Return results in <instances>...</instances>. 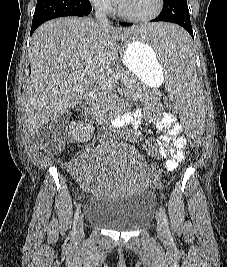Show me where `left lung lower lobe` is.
<instances>
[{"instance_id": "obj_1", "label": "left lung lower lobe", "mask_w": 227, "mask_h": 267, "mask_svg": "<svg viewBox=\"0 0 227 267\" xmlns=\"http://www.w3.org/2000/svg\"><path fill=\"white\" fill-rule=\"evenodd\" d=\"M171 22L182 26L191 37L194 39L193 30L190 21L189 9L187 6V0H164V7L161 13L152 20V22ZM122 26H132L131 23H120ZM176 50L182 44L175 42Z\"/></svg>"}]
</instances>
